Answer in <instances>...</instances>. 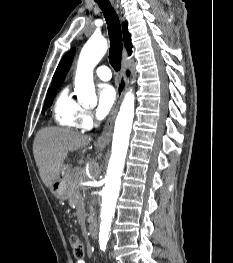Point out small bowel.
<instances>
[{"mask_svg":"<svg viewBox=\"0 0 233 263\" xmlns=\"http://www.w3.org/2000/svg\"><path fill=\"white\" fill-rule=\"evenodd\" d=\"M76 263H87V261L86 260H78V261H76Z\"/></svg>","mask_w":233,"mask_h":263,"instance_id":"1","label":"small bowel"}]
</instances>
